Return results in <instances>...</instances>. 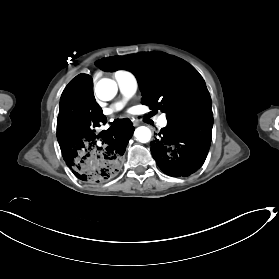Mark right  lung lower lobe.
<instances>
[{
    "label": "right lung lower lobe",
    "instance_id": "right-lung-lower-lobe-1",
    "mask_svg": "<svg viewBox=\"0 0 279 279\" xmlns=\"http://www.w3.org/2000/svg\"><path fill=\"white\" fill-rule=\"evenodd\" d=\"M106 122L95 102L91 76H76L61 95L57 139L66 165L87 183H102L117 175L133 135L128 118L116 119L109 129L97 133L94 128Z\"/></svg>",
    "mask_w": 279,
    "mask_h": 279
}]
</instances>
